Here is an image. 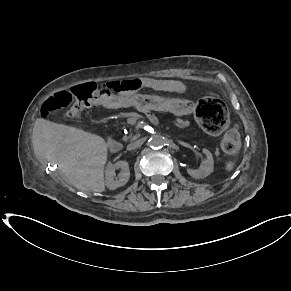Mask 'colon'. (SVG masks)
I'll return each mask as SVG.
<instances>
[{
    "instance_id": "1",
    "label": "colon",
    "mask_w": 291,
    "mask_h": 291,
    "mask_svg": "<svg viewBox=\"0 0 291 291\" xmlns=\"http://www.w3.org/2000/svg\"><path fill=\"white\" fill-rule=\"evenodd\" d=\"M130 87L123 81L109 83H85L50 96L42 105L41 115L68 109V116L76 118L84 109L96 105H108L111 109L129 108L132 104L141 112H171L174 118H188L195 114L201 127L211 134L223 131L228 125V111L224 103L215 97H172L171 93H143L132 97L126 93ZM240 135L237 128L229 130L221 141L227 153L238 150Z\"/></svg>"
}]
</instances>
